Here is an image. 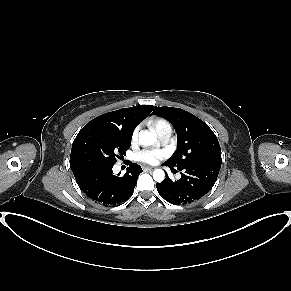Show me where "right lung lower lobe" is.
<instances>
[{
	"label": "right lung lower lobe",
	"mask_w": 291,
	"mask_h": 291,
	"mask_svg": "<svg viewBox=\"0 0 291 291\" xmlns=\"http://www.w3.org/2000/svg\"><path fill=\"white\" fill-rule=\"evenodd\" d=\"M113 166H96L74 173L80 189L92 200L106 206H115L126 201L134 192L141 167L130 164L129 170L122 176L114 175Z\"/></svg>",
	"instance_id": "98d812e1"
}]
</instances>
